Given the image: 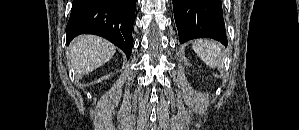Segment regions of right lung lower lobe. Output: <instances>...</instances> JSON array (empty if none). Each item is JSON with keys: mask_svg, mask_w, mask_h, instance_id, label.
<instances>
[{"mask_svg": "<svg viewBox=\"0 0 299 130\" xmlns=\"http://www.w3.org/2000/svg\"><path fill=\"white\" fill-rule=\"evenodd\" d=\"M135 6L136 0H73L67 44L77 35L95 34L118 46L129 58Z\"/></svg>", "mask_w": 299, "mask_h": 130, "instance_id": "1", "label": "right lung lower lobe"}]
</instances>
